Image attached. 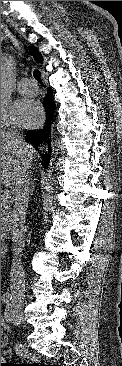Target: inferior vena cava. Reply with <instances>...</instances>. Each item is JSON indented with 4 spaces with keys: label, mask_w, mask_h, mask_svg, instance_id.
<instances>
[{
    "label": "inferior vena cava",
    "mask_w": 122,
    "mask_h": 366,
    "mask_svg": "<svg viewBox=\"0 0 122 366\" xmlns=\"http://www.w3.org/2000/svg\"><path fill=\"white\" fill-rule=\"evenodd\" d=\"M7 137L11 140V142L21 149L25 153L27 159L24 163V170L22 177L16 182L15 186L12 189V193L14 195V208L11 213V217L8 221V226L11 229L12 235V251H13V263L11 267V293L14 297L21 298L24 292L23 285V269L20 262V257L23 248L25 247V219L26 212L29 202V195L33 191V183L30 181V166L32 155L28 152L29 145L23 140L20 134L16 131L10 130L7 131Z\"/></svg>",
    "instance_id": "1"
}]
</instances>
